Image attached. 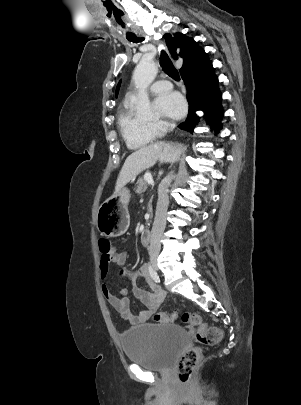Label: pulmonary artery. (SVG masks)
Returning a JSON list of instances; mask_svg holds the SVG:
<instances>
[{"label": "pulmonary artery", "mask_w": 301, "mask_h": 405, "mask_svg": "<svg viewBox=\"0 0 301 405\" xmlns=\"http://www.w3.org/2000/svg\"><path fill=\"white\" fill-rule=\"evenodd\" d=\"M172 88V85L169 81L167 80H158L155 81L149 88L150 92L155 93V94H159V93H163L166 91H169ZM135 98V94L134 93H130L127 96V101H132Z\"/></svg>", "instance_id": "pulmonary-artery-1"}]
</instances>
